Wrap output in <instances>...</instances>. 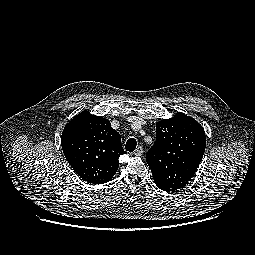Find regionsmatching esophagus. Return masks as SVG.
Returning a JSON list of instances; mask_svg holds the SVG:
<instances>
[{"label":"esophagus","mask_w":255,"mask_h":255,"mask_svg":"<svg viewBox=\"0 0 255 255\" xmlns=\"http://www.w3.org/2000/svg\"><path fill=\"white\" fill-rule=\"evenodd\" d=\"M142 154H143V148H142V146H138V147L136 148V150L134 151V155L140 156V155H142Z\"/></svg>","instance_id":"obj_1"}]
</instances>
